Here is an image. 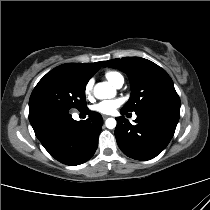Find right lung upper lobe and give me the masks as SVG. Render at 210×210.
<instances>
[{
    "label": "right lung upper lobe",
    "mask_w": 210,
    "mask_h": 210,
    "mask_svg": "<svg viewBox=\"0 0 210 210\" xmlns=\"http://www.w3.org/2000/svg\"><path fill=\"white\" fill-rule=\"evenodd\" d=\"M103 62L104 61L96 63H84V64L67 63L54 68L49 73L63 72L88 82L89 79L99 70Z\"/></svg>",
    "instance_id": "right-lung-upper-lobe-1"
}]
</instances>
